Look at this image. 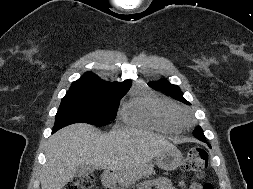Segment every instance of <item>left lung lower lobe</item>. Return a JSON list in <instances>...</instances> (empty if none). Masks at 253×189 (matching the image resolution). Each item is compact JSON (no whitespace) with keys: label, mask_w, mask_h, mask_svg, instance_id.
<instances>
[{"label":"left lung lower lobe","mask_w":253,"mask_h":189,"mask_svg":"<svg viewBox=\"0 0 253 189\" xmlns=\"http://www.w3.org/2000/svg\"><path fill=\"white\" fill-rule=\"evenodd\" d=\"M193 135L198 138L200 141L206 142V139L204 137V135H200L198 133H193Z\"/></svg>","instance_id":"obj_1"}]
</instances>
